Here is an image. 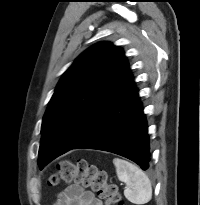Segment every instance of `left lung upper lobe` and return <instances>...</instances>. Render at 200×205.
<instances>
[{
	"mask_svg": "<svg viewBox=\"0 0 200 205\" xmlns=\"http://www.w3.org/2000/svg\"><path fill=\"white\" fill-rule=\"evenodd\" d=\"M128 72L124 52L106 42L90 47L67 69L43 117L40 169L82 141L113 101Z\"/></svg>",
	"mask_w": 200,
	"mask_h": 205,
	"instance_id": "obj_1",
	"label": "left lung upper lobe"
}]
</instances>
